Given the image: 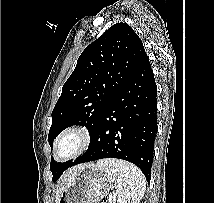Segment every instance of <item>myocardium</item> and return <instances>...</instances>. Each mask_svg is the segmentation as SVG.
Instances as JSON below:
<instances>
[{
  "label": "myocardium",
  "instance_id": "obj_1",
  "mask_svg": "<svg viewBox=\"0 0 214 203\" xmlns=\"http://www.w3.org/2000/svg\"><path fill=\"white\" fill-rule=\"evenodd\" d=\"M69 138H75L77 140V147L73 153L65 158L59 157V150L62 144ZM91 133L89 130L83 127H72L62 131L56 138L53 148V158L56 162L66 163L81 156L89 148L91 144Z\"/></svg>",
  "mask_w": 214,
  "mask_h": 203
}]
</instances>
